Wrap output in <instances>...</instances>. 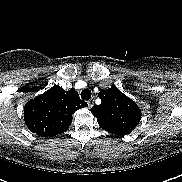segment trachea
<instances>
[{
	"mask_svg": "<svg viewBox=\"0 0 182 182\" xmlns=\"http://www.w3.org/2000/svg\"><path fill=\"white\" fill-rule=\"evenodd\" d=\"M91 91L89 90V89H84L82 92H81V98L83 99V100H88V99H90L91 98Z\"/></svg>",
	"mask_w": 182,
	"mask_h": 182,
	"instance_id": "trachea-1",
	"label": "trachea"
}]
</instances>
